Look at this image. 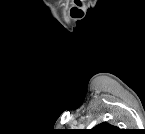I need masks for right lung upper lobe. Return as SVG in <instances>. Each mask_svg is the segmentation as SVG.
I'll return each instance as SVG.
<instances>
[{"label": "right lung upper lobe", "mask_w": 145, "mask_h": 134, "mask_svg": "<svg viewBox=\"0 0 145 134\" xmlns=\"http://www.w3.org/2000/svg\"><path fill=\"white\" fill-rule=\"evenodd\" d=\"M117 130H118L117 127H114L107 122H103L95 126L91 130V132L96 133V134H112V133H115Z\"/></svg>", "instance_id": "cb5924a9"}]
</instances>
